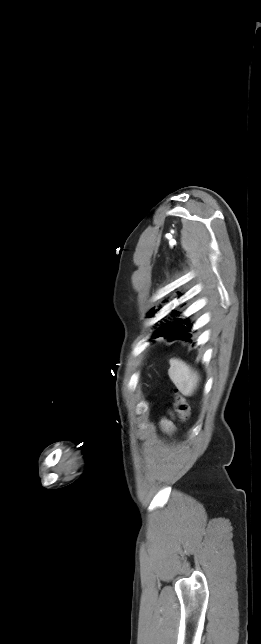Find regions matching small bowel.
<instances>
[{"label":"small bowel","instance_id":"obj_1","mask_svg":"<svg viewBox=\"0 0 261 644\" xmlns=\"http://www.w3.org/2000/svg\"><path fill=\"white\" fill-rule=\"evenodd\" d=\"M160 427H161L162 431L164 433H166V434L171 435L175 431V427H174L173 422L171 420H169V419H166V418L161 419Z\"/></svg>","mask_w":261,"mask_h":644}]
</instances>
